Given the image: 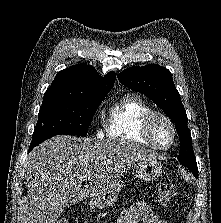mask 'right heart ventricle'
Segmentation results:
<instances>
[{
	"label": "right heart ventricle",
	"instance_id": "obj_1",
	"mask_svg": "<svg viewBox=\"0 0 221 223\" xmlns=\"http://www.w3.org/2000/svg\"><path fill=\"white\" fill-rule=\"evenodd\" d=\"M153 111L151 105L138 94H128L109 110L105 134L110 140L148 144L141 135L145 116Z\"/></svg>",
	"mask_w": 221,
	"mask_h": 223
}]
</instances>
